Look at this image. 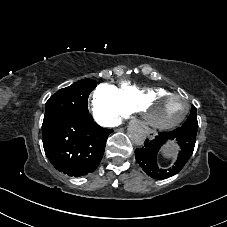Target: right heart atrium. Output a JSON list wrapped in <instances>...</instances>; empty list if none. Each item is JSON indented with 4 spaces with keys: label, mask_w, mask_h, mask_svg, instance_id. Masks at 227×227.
Segmentation results:
<instances>
[{
    "label": "right heart atrium",
    "mask_w": 227,
    "mask_h": 227,
    "mask_svg": "<svg viewBox=\"0 0 227 227\" xmlns=\"http://www.w3.org/2000/svg\"><path fill=\"white\" fill-rule=\"evenodd\" d=\"M92 114L101 126L114 128L119 126L129 113L120 99L117 87L101 83L93 92Z\"/></svg>",
    "instance_id": "d8ad5b80"
}]
</instances>
